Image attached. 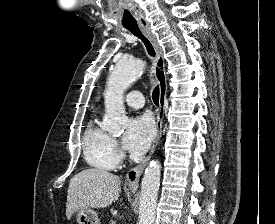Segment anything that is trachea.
I'll return each mask as SVG.
<instances>
[{"instance_id": "trachea-1", "label": "trachea", "mask_w": 275, "mask_h": 224, "mask_svg": "<svg viewBox=\"0 0 275 224\" xmlns=\"http://www.w3.org/2000/svg\"><path fill=\"white\" fill-rule=\"evenodd\" d=\"M132 34H134L136 37L140 38L142 40V42L144 43L148 54L150 56H155V50L151 44V42L143 35V33L141 32L140 28L138 27V25H132V26H127L126 27ZM159 87L156 86L155 89L153 90L152 93V99L153 102L158 106L159 104Z\"/></svg>"}]
</instances>
